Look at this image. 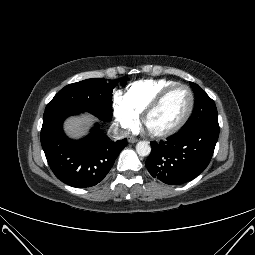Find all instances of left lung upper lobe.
Segmentation results:
<instances>
[{"label":"left lung upper lobe","mask_w":255,"mask_h":255,"mask_svg":"<svg viewBox=\"0 0 255 255\" xmlns=\"http://www.w3.org/2000/svg\"><path fill=\"white\" fill-rule=\"evenodd\" d=\"M195 92V108L181 131L215 127L219 128L214 101L195 83H190Z\"/></svg>","instance_id":"left-lung-upper-lobe-1"}]
</instances>
